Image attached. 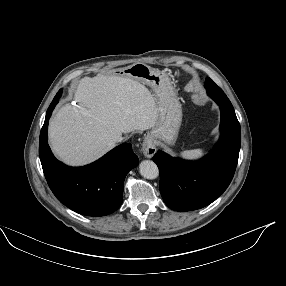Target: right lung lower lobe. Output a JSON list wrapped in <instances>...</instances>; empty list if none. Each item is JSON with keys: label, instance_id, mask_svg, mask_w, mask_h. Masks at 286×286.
Masks as SVG:
<instances>
[{"label": "right lung lower lobe", "instance_id": "obj_1", "mask_svg": "<svg viewBox=\"0 0 286 286\" xmlns=\"http://www.w3.org/2000/svg\"><path fill=\"white\" fill-rule=\"evenodd\" d=\"M59 98L57 93L40 132L39 155L48 185L61 203L79 214H111L121 205L124 179L139 159L131 144L124 143L87 166L69 167L58 161L49 148L47 128Z\"/></svg>", "mask_w": 286, "mask_h": 286}]
</instances>
